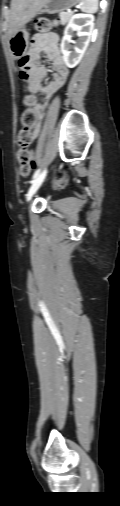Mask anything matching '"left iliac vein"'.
Returning <instances> with one entry per match:
<instances>
[{
	"mask_svg": "<svg viewBox=\"0 0 120 506\" xmlns=\"http://www.w3.org/2000/svg\"><path fill=\"white\" fill-rule=\"evenodd\" d=\"M47 174V170H44L42 173H40L32 182L31 187L29 188V191L27 193V201H30L32 196L35 194V192L38 190V188L41 186L43 181L45 180Z\"/></svg>",
	"mask_w": 120,
	"mask_h": 506,
	"instance_id": "obj_1",
	"label": "left iliac vein"
}]
</instances>
